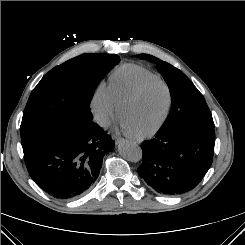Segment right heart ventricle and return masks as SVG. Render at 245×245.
<instances>
[{
    "label": "right heart ventricle",
    "instance_id": "right-heart-ventricle-1",
    "mask_svg": "<svg viewBox=\"0 0 245 245\" xmlns=\"http://www.w3.org/2000/svg\"><path fill=\"white\" fill-rule=\"evenodd\" d=\"M156 76L149 69L137 64H123L114 69L109 77V86L118 104L146 78Z\"/></svg>",
    "mask_w": 245,
    "mask_h": 245
}]
</instances>
